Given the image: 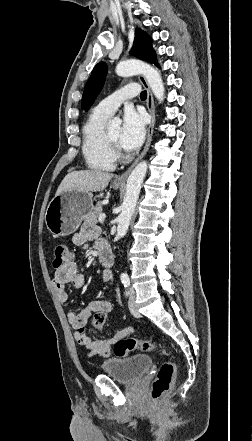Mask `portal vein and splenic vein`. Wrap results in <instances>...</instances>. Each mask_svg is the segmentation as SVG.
<instances>
[{
	"instance_id": "portal-vein-and-splenic-vein-1",
	"label": "portal vein and splenic vein",
	"mask_w": 252,
	"mask_h": 441,
	"mask_svg": "<svg viewBox=\"0 0 252 441\" xmlns=\"http://www.w3.org/2000/svg\"><path fill=\"white\" fill-rule=\"evenodd\" d=\"M105 218H106L105 214H100L98 217V220H99V222H103L105 220Z\"/></svg>"
}]
</instances>
